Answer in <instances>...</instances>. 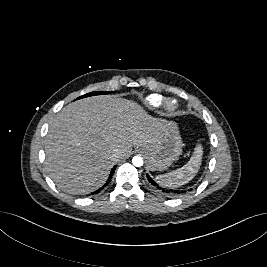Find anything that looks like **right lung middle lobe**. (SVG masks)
Wrapping results in <instances>:
<instances>
[{"label": "right lung middle lobe", "mask_w": 267, "mask_h": 267, "mask_svg": "<svg viewBox=\"0 0 267 267\" xmlns=\"http://www.w3.org/2000/svg\"><path fill=\"white\" fill-rule=\"evenodd\" d=\"M111 92L109 91H95V92H91V93H87L77 99H81V98H85V97H89V96H93V95H103V94H109Z\"/></svg>", "instance_id": "dd1d6c3e"}]
</instances>
